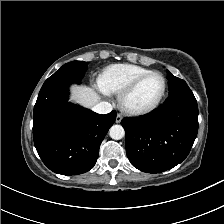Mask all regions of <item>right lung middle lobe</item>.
I'll list each match as a JSON object with an SVG mask.
<instances>
[{
    "label": "right lung middle lobe",
    "instance_id": "right-lung-middle-lobe-1",
    "mask_svg": "<svg viewBox=\"0 0 224 224\" xmlns=\"http://www.w3.org/2000/svg\"><path fill=\"white\" fill-rule=\"evenodd\" d=\"M87 62L83 61H72L63 65L53 75L55 76H70L76 79H81L87 70Z\"/></svg>",
    "mask_w": 224,
    "mask_h": 224
}]
</instances>
